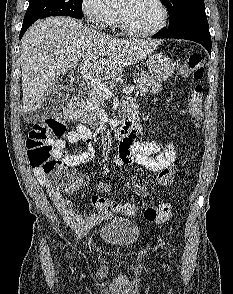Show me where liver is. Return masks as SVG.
I'll use <instances>...</instances> for the list:
<instances>
[{"mask_svg": "<svg viewBox=\"0 0 233 294\" xmlns=\"http://www.w3.org/2000/svg\"><path fill=\"white\" fill-rule=\"evenodd\" d=\"M23 108L38 109L48 87L69 69L91 61L99 80L120 74L124 67L153 53L160 40L117 39L68 17H51L32 25L22 38Z\"/></svg>", "mask_w": 233, "mask_h": 294, "instance_id": "obj_1", "label": "liver"}]
</instances>
